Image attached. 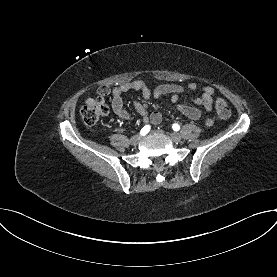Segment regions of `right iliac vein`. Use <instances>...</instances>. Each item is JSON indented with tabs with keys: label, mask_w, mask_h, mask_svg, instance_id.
<instances>
[{
	"label": "right iliac vein",
	"mask_w": 277,
	"mask_h": 277,
	"mask_svg": "<svg viewBox=\"0 0 277 277\" xmlns=\"http://www.w3.org/2000/svg\"><path fill=\"white\" fill-rule=\"evenodd\" d=\"M142 140V136L141 135H134L131 139L130 142L133 145L138 144L140 141Z\"/></svg>",
	"instance_id": "right-iliac-vein-1"
}]
</instances>
